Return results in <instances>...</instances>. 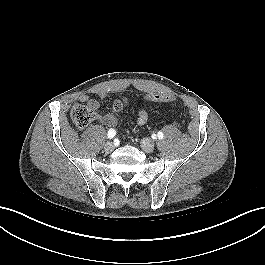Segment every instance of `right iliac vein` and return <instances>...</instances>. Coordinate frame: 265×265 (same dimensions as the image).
Instances as JSON below:
<instances>
[{"instance_id":"1","label":"right iliac vein","mask_w":265,"mask_h":265,"mask_svg":"<svg viewBox=\"0 0 265 265\" xmlns=\"http://www.w3.org/2000/svg\"><path fill=\"white\" fill-rule=\"evenodd\" d=\"M115 146L112 142H107L104 146V150L107 153H111L114 150Z\"/></svg>"}]
</instances>
